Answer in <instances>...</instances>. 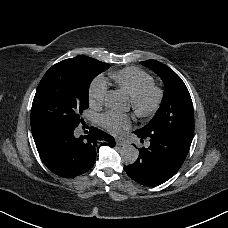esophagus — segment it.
<instances>
[{
	"mask_svg": "<svg viewBox=\"0 0 228 228\" xmlns=\"http://www.w3.org/2000/svg\"><path fill=\"white\" fill-rule=\"evenodd\" d=\"M116 145H117V146H126V145H128V143L125 142V141H122V140H120V139H117V140H116Z\"/></svg>",
	"mask_w": 228,
	"mask_h": 228,
	"instance_id": "34e87169",
	"label": "esophagus"
}]
</instances>
